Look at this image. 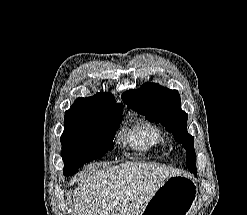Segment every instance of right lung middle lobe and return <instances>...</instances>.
Instances as JSON below:
<instances>
[{
	"label": "right lung middle lobe",
	"instance_id": "dd1d6c3e",
	"mask_svg": "<svg viewBox=\"0 0 247 215\" xmlns=\"http://www.w3.org/2000/svg\"><path fill=\"white\" fill-rule=\"evenodd\" d=\"M121 118L122 113L90 110L74 102L65 113L61 136L63 174L75 173L86 162L99 159L112 149Z\"/></svg>",
	"mask_w": 247,
	"mask_h": 215
}]
</instances>
